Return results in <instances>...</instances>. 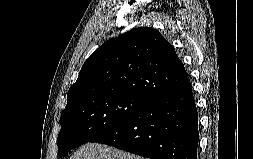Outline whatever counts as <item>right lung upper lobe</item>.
Returning a JSON list of instances; mask_svg holds the SVG:
<instances>
[{"label":"right lung upper lobe","instance_id":"obj_1","mask_svg":"<svg viewBox=\"0 0 253 159\" xmlns=\"http://www.w3.org/2000/svg\"><path fill=\"white\" fill-rule=\"evenodd\" d=\"M189 80L173 46L150 27L101 45L84 63L67 103L95 94L133 93L151 99Z\"/></svg>","mask_w":253,"mask_h":159}]
</instances>
